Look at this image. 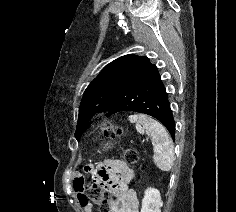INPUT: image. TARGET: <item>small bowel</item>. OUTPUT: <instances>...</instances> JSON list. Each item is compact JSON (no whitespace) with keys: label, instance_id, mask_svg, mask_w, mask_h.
<instances>
[{"label":"small bowel","instance_id":"1","mask_svg":"<svg viewBox=\"0 0 236 212\" xmlns=\"http://www.w3.org/2000/svg\"><path fill=\"white\" fill-rule=\"evenodd\" d=\"M102 180L111 186L116 181L121 183V194L119 198L110 204V212H139V204L136 193L128 190L126 184L133 178V172L119 160L109 161L100 171ZM84 178L79 176L75 183V191L83 212H91V206L83 191Z\"/></svg>","mask_w":236,"mask_h":212}]
</instances>
